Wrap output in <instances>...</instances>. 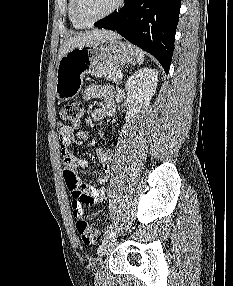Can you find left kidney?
<instances>
[{
  "label": "left kidney",
  "instance_id": "left-kidney-1",
  "mask_svg": "<svg viewBox=\"0 0 233 286\" xmlns=\"http://www.w3.org/2000/svg\"><path fill=\"white\" fill-rule=\"evenodd\" d=\"M158 82L156 69L143 68L135 72L126 82L127 112L126 120L139 113L143 105L152 99Z\"/></svg>",
  "mask_w": 233,
  "mask_h": 286
}]
</instances>
